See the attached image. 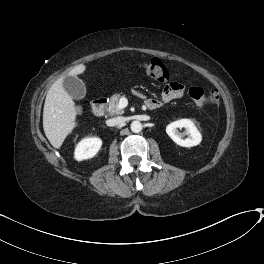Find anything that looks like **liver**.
I'll return each mask as SVG.
<instances>
[{"instance_id":"liver-1","label":"liver","mask_w":264,"mask_h":264,"mask_svg":"<svg viewBox=\"0 0 264 264\" xmlns=\"http://www.w3.org/2000/svg\"><path fill=\"white\" fill-rule=\"evenodd\" d=\"M86 66H75L67 74H83ZM64 76L57 79L50 87L43 110V128L47 139L54 148H60L66 137L76 127L77 109L72 97L64 88Z\"/></svg>"}]
</instances>
